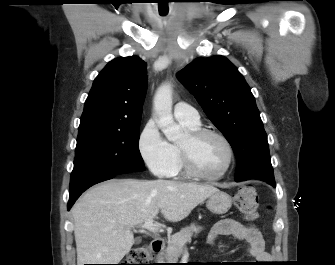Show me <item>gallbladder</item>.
Instances as JSON below:
<instances>
[{
    "instance_id": "obj_1",
    "label": "gallbladder",
    "mask_w": 335,
    "mask_h": 265,
    "mask_svg": "<svg viewBox=\"0 0 335 265\" xmlns=\"http://www.w3.org/2000/svg\"><path fill=\"white\" fill-rule=\"evenodd\" d=\"M141 242V240L138 238L136 239V243L139 244Z\"/></svg>"
}]
</instances>
